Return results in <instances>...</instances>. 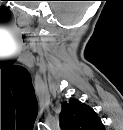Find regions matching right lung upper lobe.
Here are the masks:
<instances>
[{"label": "right lung upper lobe", "mask_w": 123, "mask_h": 130, "mask_svg": "<svg viewBox=\"0 0 123 130\" xmlns=\"http://www.w3.org/2000/svg\"><path fill=\"white\" fill-rule=\"evenodd\" d=\"M60 127L64 130H102L104 126L90 106L70 99L62 105Z\"/></svg>", "instance_id": "right-lung-upper-lobe-1"}]
</instances>
